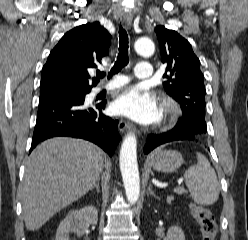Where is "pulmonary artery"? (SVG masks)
Masks as SVG:
<instances>
[{
    "instance_id": "pulmonary-artery-1",
    "label": "pulmonary artery",
    "mask_w": 248,
    "mask_h": 240,
    "mask_svg": "<svg viewBox=\"0 0 248 240\" xmlns=\"http://www.w3.org/2000/svg\"><path fill=\"white\" fill-rule=\"evenodd\" d=\"M137 79L140 80H150L152 78V67L148 62H139L136 65L134 72ZM128 82L125 75L118 74L115 75L112 80L104 86V89L110 90L123 86ZM101 88H97L95 92L99 91Z\"/></svg>"
}]
</instances>
